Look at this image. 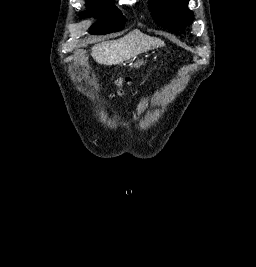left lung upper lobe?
Returning a JSON list of instances; mask_svg holds the SVG:
<instances>
[{
    "label": "left lung upper lobe",
    "instance_id": "left-lung-upper-lobe-1",
    "mask_svg": "<svg viewBox=\"0 0 256 267\" xmlns=\"http://www.w3.org/2000/svg\"><path fill=\"white\" fill-rule=\"evenodd\" d=\"M189 0H149L154 20L170 30H181L189 25L193 13L187 8Z\"/></svg>",
    "mask_w": 256,
    "mask_h": 267
}]
</instances>
